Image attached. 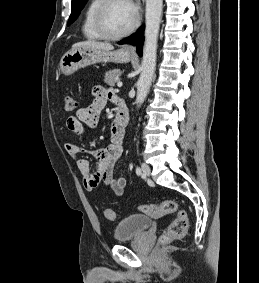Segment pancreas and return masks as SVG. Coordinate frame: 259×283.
<instances>
[{
    "mask_svg": "<svg viewBox=\"0 0 259 283\" xmlns=\"http://www.w3.org/2000/svg\"><path fill=\"white\" fill-rule=\"evenodd\" d=\"M121 75V71L118 69H113L105 73L104 82L109 86H114L118 81V77Z\"/></svg>",
    "mask_w": 259,
    "mask_h": 283,
    "instance_id": "pancreas-1",
    "label": "pancreas"
}]
</instances>
